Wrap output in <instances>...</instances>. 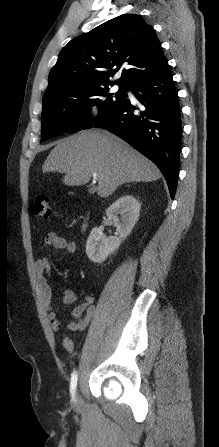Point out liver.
Listing matches in <instances>:
<instances>
[{"label": "liver", "mask_w": 219, "mask_h": 447, "mask_svg": "<svg viewBox=\"0 0 219 447\" xmlns=\"http://www.w3.org/2000/svg\"><path fill=\"white\" fill-rule=\"evenodd\" d=\"M42 170L60 172L64 185L81 186L97 174V194L106 198L129 182H152L159 169L126 142L101 129L87 130L62 139L50 152Z\"/></svg>", "instance_id": "1"}]
</instances>
